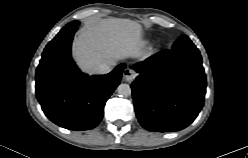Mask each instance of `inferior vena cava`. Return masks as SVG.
Masks as SVG:
<instances>
[{
  "label": "inferior vena cava",
  "instance_id": "1",
  "mask_svg": "<svg viewBox=\"0 0 248 158\" xmlns=\"http://www.w3.org/2000/svg\"><path fill=\"white\" fill-rule=\"evenodd\" d=\"M114 65H115L114 62H112L110 64H106V63L101 64V65L98 66L97 72L99 74H107V73H109L112 70V68H113Z\"/></svg>",
  "mask_w": 248,
  "mask_h": 158
}]
</instances>
